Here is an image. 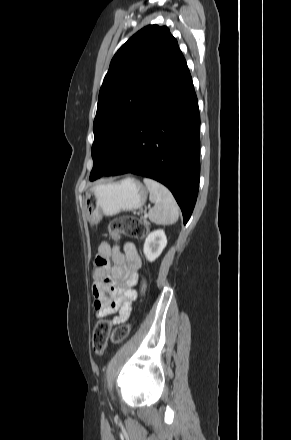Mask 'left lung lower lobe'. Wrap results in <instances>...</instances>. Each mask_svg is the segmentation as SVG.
I'll return each instance as SVG.
<instances>
[{
    "label": "left lung lower lobe",
    "instance_id": "1",
    "mask_svg": "<svg viewBox=\"0 0 291 440\" xmlns=\"http://www.w3.org/2000/svg\"><path fill=\"white\" fill-rule=\"evenodd\" d=\"M200 115L185 59L142 112L102 176L132 173L164 184L184 224L197 199L200 178Z\"/></svg>",
    "mask_w": 291,
    "mask_h": 440
}]
</instances>
